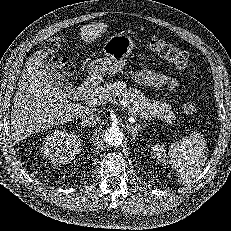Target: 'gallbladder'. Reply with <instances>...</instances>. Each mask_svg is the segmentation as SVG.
I'll return each instance as SVG.
<instances>
[{
    "label": "gallbladder",
    "mask_w": 231,
    "mask_h": 231,
    "mask_svg": "<svg viewBox=\"0 0 231 231\" xmlns=\"http://www.w3.org/2000/svg\"><path fill=\"white\" fill-rule=\"evenodd\" d=\"M46 71L49 77V81L60 89L64 95L68 98H76L77 92L74 86L68 82V79L63 75L55 64L48 63L46 65Z\"/></svg>",
    "instance_id": "obj_1"
}]
</instances>
